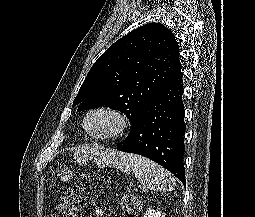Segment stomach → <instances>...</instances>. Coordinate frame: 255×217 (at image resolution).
I'll use <instances>...</instances> for the list:
<instances>
[{"instance_id":"stomach-1","label":"stomach","mask_w":255,"mask_h":217,"mask_svg":"<svg viewBox=\"0 0 255 217\" xmlns=\"http://www.w3.org/2000/svg\"><path fill=\"white\" fill-rule=\"evenodd\" d=\"M72 175H73V172H72V171H70V170H64V171L61 173V178H62L63 180H68V179H70V178L72 177Z\"/></svg>"}]
</instances>
